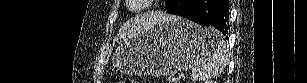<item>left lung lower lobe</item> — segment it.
Instances as JSON below:
<instances>
[{"mask_svg": "<svg viewBox=\"0 0 307 83\" xmlns=\"http://www.w3.org/2000/svg\"><path fill=\"white\" fill-rule=\"evenodd\" d=\"M200 25H211L224 35L229 31L228 0H173L167 9Z\"/></svg>", "mask_w": 307, "mask_h": 83, "instance_id": "left-lung-lower-lobe-1", "label": "left lung lower lobe"}]
</instances>
